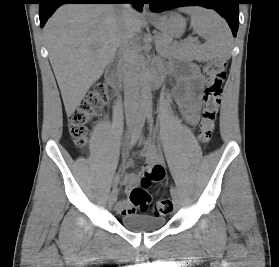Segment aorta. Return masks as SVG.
I'll return each instance as SVG.
<instances>
[{"label": "aorta", "instance_id": "obj_1", "mask_svg": "<svg viewBox=\"0 0 279 267\" xmlns=\"http://www.w3.org/2000/svg\"><path fill=\"white\" fill-rule=\"evenodd\" d=\"M152 87H151V79L148 74L144 75L142 80V89H141V105L145 110L150 109L151 107V99H152Z\"/></svg>", "mask_w": 279, "mask_h": 267}]
</instances>
